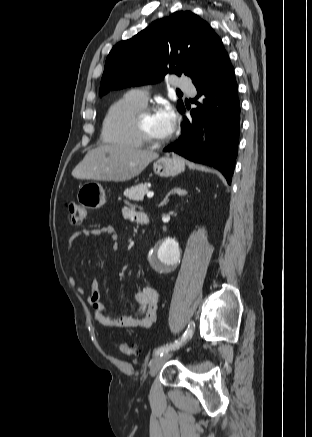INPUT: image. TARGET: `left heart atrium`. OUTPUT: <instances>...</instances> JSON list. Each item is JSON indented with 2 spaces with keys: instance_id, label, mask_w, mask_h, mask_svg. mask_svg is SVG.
<instances>
[{
  "instance_id": "1",
  "label": "left heart atrium",
  "mask_w": 312,
  "mask_h": 437,
  "mask_svg": "<svg viewBox=\"0 0 312 437\" xmlns=\"http://www.w3.org/2000/svg\"><path fill=\"white\" fill-rule=\"evenodd\" d=\"M162 131L166 135H170L176 124V114L170 106H165L156 113Z\"/></svg>"
}]
</instances>
